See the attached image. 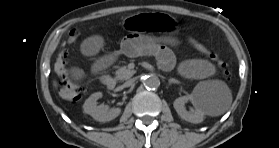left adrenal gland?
<instances>
[{"label":"left adrenal gland","mask_w":279,"mask_h":148,"mask_svg":"<svg viewBox=\"0 0 279 148\" xmlns=\"http://www.w3.org/2000/svg\"><path fill=\"white\" fill-rule=\"evenodd\" d=\"M168 83L169 84H180V82L178 80L174 79V78L169 79Z\"/></svg>","instance_id":"1"}]
</instances>
